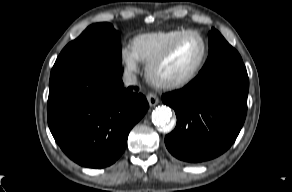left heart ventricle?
Segmentation results:
<instances>
[{
    "instance_id": "obj_1",
    "label": "left heart ventricle",
    "mask_w": 292,
    "mask_h": 192,
    "mask_svg": "<svg viewBox=\"0 0 292 192\" xmlns=\"http://www.w3.org/2000/svg\"><path fill=\"white\" fill-rule=\"evenodd\" d=\"M203 53V44L196 35L184 38L172 55L158 69V77L173 80L186 76L199 63Z\"/></svg>"
}]
</instances>
